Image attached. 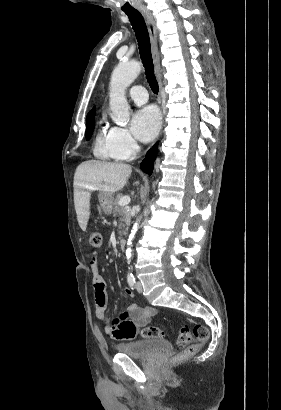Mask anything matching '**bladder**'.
I'll use <instances>...</instances> for the list:
<instances>
[{
	"label": "bladder",
	"instance_id": "bladder-1",
	"mask_svg": "<svg viewBox=\"0 0 281 410\" xmlns=\"http://www.w3.org/2000/svg\"><path fill=\"white\" fill-rule=\"evenodd\" d=\"M115 348L118 353L133 358H149L158 353L169 352L171 344L161 339H141L119 343Z\"/></svg>",
	"mask_w": 281,
	"mask_h": 410
}]
</instances>
